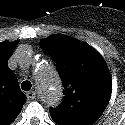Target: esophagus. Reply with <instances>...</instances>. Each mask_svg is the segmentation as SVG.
Instances as JSON below:
<instances>
[{
    "mask_svg": "<svg viewBox=\"0 0 125 125\" xmlns=\"http://www.w3.org/2000/svg\"><path fill=\"white\" fill-rule=\"evenodd\" d=\"M26 96L29 100H33L36 97V92L35 91H29L26 93Z\"/></svg>",
    "mask_w": 125,
    "mask_h": 125,
    "instance_id": "1",
    "label": "esophagus"
}]
</instances>
